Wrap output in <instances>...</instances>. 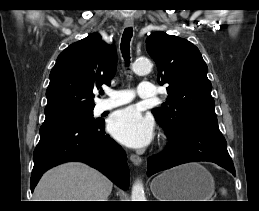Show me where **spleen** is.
Segmentation results:
<instances>
[{"label": "spleen", "mask_w": 259, "mask_h": 211, "mask_svg": "<svg viewBox=\"0 0 259 211\" xmlns=\"http://www.w3.org/2000/svg\"><path fill=\"white\" fill-rule=\"evenodd\" d=\"M221 193H222V195H226L227 194V190L225 188H222L221 189Z\"/></svg>", "instance_id": "spleen-1"}]
</instances>
